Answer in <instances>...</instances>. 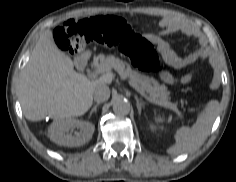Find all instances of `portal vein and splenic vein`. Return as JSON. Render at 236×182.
Segmentation results:
<instances>
[{
	"mask_svg": "<svg viewBox=\"0 0 236 182\" xmlns=\"http://www.w3.org/2000/svg\"><path fill=\"white\" fill-rule=\"evenodd\" d=\"M106 71H108V69H106V67H105L104 65L97 66L96 69H95V71H94L93 73H91L90 76H91L92 78H95L96 75H97V73H99V72H106ZM128 83H129V85H130L131 87H133L138 93H140L141 96L145 97V98H146L148 101H150L151 103H154V104H157V105H160V106H164V107H168V108L174 110L178 115H181L180 112H179V110H178V108H177V106H176L175 104L170 103V102H162V101H159V100H157V99H155V98H152V97H150V96H147V95L145 94V92H144L136 83H134L133 81H129Z\"/></svg>",
	"mask_w": 236,
	"mask_h": 182,
	"instance_id": "portal-vein-and-splenic-vein-1",
	"label": "portal vein and splenic vein"
}]
</instances>
